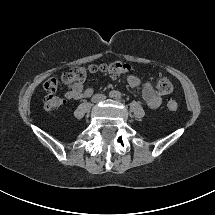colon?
I'll return each mask as SVG.
<instances>
[{"label":"colon","mask_w":215,"mask_h":215,"mask_svg":"<svg viewBox=\"0 0 215 215\" xmlns=\"http://www.w3.org/2000/svg\"><path fill=\"white\" fill-rule=\"evenodd\" d=\"M130 66L123 62H112L101 65H89L87 67H74L70 71L63 73L59 78H50L44 83V90L47 95L44 98V108L47 111L58 109L63 105V100L56 95L61 84L71 85L76 82H82L88 74L100 73L109 77H120L127 74ZM155 88L161 94H169L173 90L171 81L166 77H159L155 80ZM178 102L169 98L166 101V108L170 112L177 111Z\"/></svg>","instance_id":"1"}]
</instances>
